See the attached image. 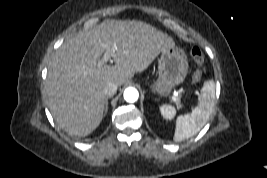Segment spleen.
Listing matches in <instances>:
<instances>
[{"label":"spleen","mask_w":267,"mask_h":178,"mask_svg":"<svg viewBox=\"0 0 267 178\" xmlns=\"http://www.w3.org/2000/svg\"><path fill=\"white\" fill-rule=\"evenodd\" d=\"M215 100V84L213 80L204 83L198 97V105L189 114L180 115L176 120L174 141L180 142L197 134L208 121ZM166 120L176 115V109L171 105H162L159 108Z\"/></svg>","instance_id":"obj_1"}]
</instances>
